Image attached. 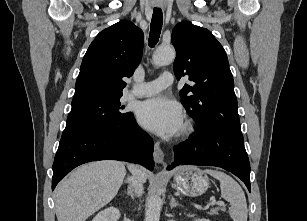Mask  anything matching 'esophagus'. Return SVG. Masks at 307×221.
<instances>
[{
	"instance_id": "esophagus-1",
	"label": "esophagus",
	"mask_w": 307,
	"mask_h": 221,
	"mask_svg": "<svg viewBox=\"0 0 307 221\" xmlns=\"http://www.w3.org/2000/svg\"><path fill=\"white\" fill-rule=\"evenodd\" d=\"M154 161L159 164H165L164 163V153L160 147L159 142H155L154 144V152H153Z\"/></svg>"
}]
</instances>
